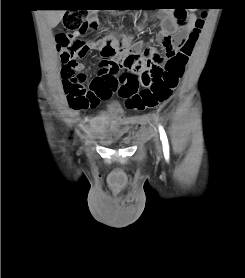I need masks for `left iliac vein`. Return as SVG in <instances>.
Instances as JSON below:
<instances>
[{
	"mask_svg": "<svg viewBox=\"0 0 245 278\" xmlns=\"http://www.w3.org/2000/svg\"><path fill=\"white\" fill-rule=\"evenodd\" d=\"M153 136H154V142H155V148H156L157 154H158L159 156H161V154H162V148H161L160 140H159V138H158L157 133H154Z\"/></svg>",
	"mask_w": 245,
	"mask_h": 278,
	"instance_id": "obj_1",
	"label": "left iliac vein"
}]
</instances>
